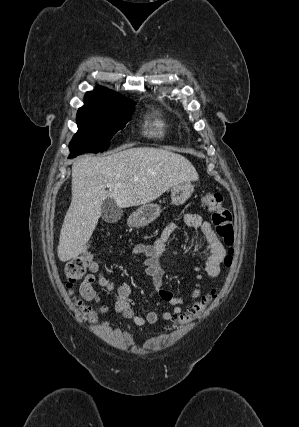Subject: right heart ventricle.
<instances>
[{
    "label": "right heart ventricle",
    "instance_id": "1",
    "mask_svg": "<svg viewBox=\"0 0 299 427\" xmlns=\"http://www.w3.org/2000/svg\"><path fill=\"white\" fill-rule=\"evenodd\" d=\"M145 134L158 141H165L170 137L171 124L162 111L156 110L148 115L145 123Z\"/></svg>",
    "mask_w": 299,
    "mask_h": 427
}]
</instances>
